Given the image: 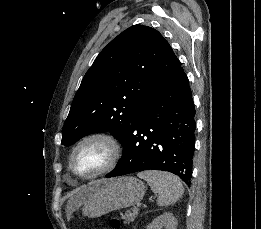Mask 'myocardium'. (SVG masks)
<instances>
[{
    "mask_svg": "<svg viewBox=\"0 0 261 229\" xmlns=\"http://www.w3.org/2000/svg\"><path fill=\"white\" fill-rule=\"evenodd\" d=\"M90 142H99V143L103 144L108 150V160L105 163V165L98 171H96L94 173H83V172L78 171L75 168L74 156L79 148H81L83 145L90 143ZM120 155H121L120 145H119L117 139L113 135H111L107 132H102V131L93 132V133H90V134L82 137L72 147L70 157H69V167L75 175H77L81 178H85V179L94 178V177L100 176V175L105 174V173L109 172L110 170H112L117 165Z\"/></svg>",
    "mask_w": 261,
    "mask_h": 229,
    "instance_id": "myocardium-1",
    "label": "myocardium"
}]
</instances>
